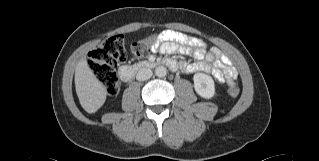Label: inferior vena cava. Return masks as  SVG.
<instances>
[{"label":"inferior vena cava","mask_w":319,"mask_h":161,"mask_svg":"<svg viewBox=\"0 0 319 161\" xmlns=\"http://www.w3.org/2000/svg\"><path fill=\"white\" fill-rule=\"evenodd\" d=\"M153 75L152 71L148 68H142L137 72L136 79L138 81H145L151 78Z\"/></svg>","instance_id":"inferior-vena-cava-1"}]
</instances>
